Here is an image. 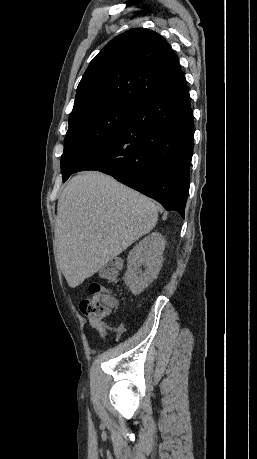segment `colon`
Wrapping results in <instances>:
<instances>
[{"label":"colon","instance_id":"5ec220e1","mask_svg":"<svg viewBox=\"0 0 257 459\" xmlns=\"http://www.w3.org/2000/svg\"><path fill=\"white\" fill-rule=\"evenodd\" d=\"M121 271V264L116 260L108 262L101 270L103 278L115 280ZM115 305V298L109 290L98 283L91 284L88 295L80 303L83 314L90 315L97 320L105 319Z\"/></svg>","mask_w":257,"mask_h":459}]
</instances>
